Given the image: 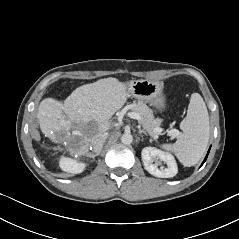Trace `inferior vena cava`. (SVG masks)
<instances>
[{
    "label": "inferior vena cava",
    "instance_id": "1",
    "mask_svg": "<svg viewBox=\"0 0 239 239\" xmlns=\"http://www.w3.org/2000/svg\"><path fill=\"white\" fill-rule=\"evenodd\" d=\"M107 138H108L107 132L100 134L95 141V147L97 149L101 150V148L104 145V143L106 142Z\"/></svg>",
    "mask_w": 239,
    "mask_h": 239
}]
</instances>
